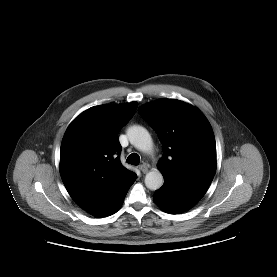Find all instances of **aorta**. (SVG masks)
I'll list each match as a JSON object with an SVG mask.
<instances>
[{"label": "aorta", "instance_id": "obj_1", "mask_svg": "<svg viewBox=\"0 0 277 277\" xmlns=\"http://www.w3.org/2000/svg\"><path fill=\"white\" fill-rule=\"evenodd\" d=\"M127 136L130 143L142 152H151L153 141L149 132L142 126L134 125L128 128ZM163 175L158 170H152L145 176V185L150 190H158L163 185Z\"/></svg>", "mask_w": 277, "mask_h": 277}]
</instances>
